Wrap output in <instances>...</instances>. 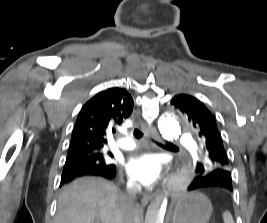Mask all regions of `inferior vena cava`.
Listing matches in <instances>:
<instances>
[{
  "instance_id": "1",
  "label": "inferior vena cava",
  "mask_w": 267,
  "mask_h": 223,
  "mask_svg": "<svg viewBox=\"0 0 267 223\" xmlns=\"http://www.w3.org/2000/svg\"><path fill=\"white\" fill-rule=\"evenodd\" d=\"M141 190L138 183H131L127 186V193L124 195L125 208L123 212V223H135L134 209L136 194Z\"/></svg>"
}]
</instances>
